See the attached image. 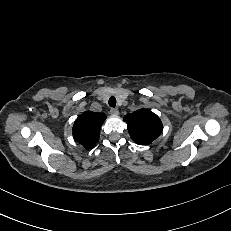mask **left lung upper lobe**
Masks as SVG:
<instances>
[{
    "instance_id": "obj_1",
    "label": "left lung upper lobe",
    "mask_w": 231,
    "mask_h": 231,
    "mask_svg": "<svg viewBox=\"0 0 231 231\" xmlns=\"http://www.w3.org/2000/svg\"><path fill=\"white\" fill-rule=\"evenodd\" d=\"M128 131L138 144L146 145L155 140L162 131V122L151 110L139 109L124 117Z\"/></svg>"
}]
</instances>
